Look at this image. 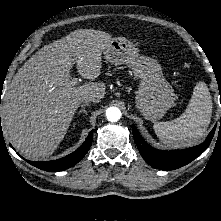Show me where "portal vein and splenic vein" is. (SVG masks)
<instances>
[{
  "instance_id": "portal-vein-and-splenic-vein-1",
  "label": "portal vein and splenic vein",
  "mask_w": 221,
  "mask_h": 221,
  "mask_svg": "<svg viewBox=\"0 0 221 221\" xmlns=\"http://www.w3.org/2000/svg\"><path fill=\"white\" fill-rule=\"evenodd\" d=\"M77 82H78V81H77V78H73L72 81H71V84L76 85Z\"/></svg>"
}]
</instances>
